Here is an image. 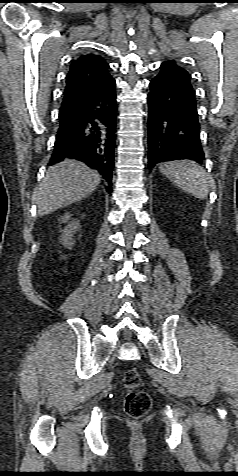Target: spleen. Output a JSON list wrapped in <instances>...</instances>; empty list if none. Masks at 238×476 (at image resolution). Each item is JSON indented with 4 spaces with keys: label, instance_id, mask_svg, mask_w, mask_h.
Segmentation results:
<instances>
[{
    "label": "spleen",
    "instance_id": "3e777b00",
    "mask_svg": "<svg viewBox=\"0 0 238 476\" xmlns=\"http://www.w3.org/2000/svg\"><path fill=\"white\" fill-rule=\"evenodd\" d=\"M160 171L176 186L196 198L204 199L209 193L205 170L191 160H176L159 166Z\"/></svg>",
    "mask_w": 238,
    "mask_h": 476
}]
</instances>
